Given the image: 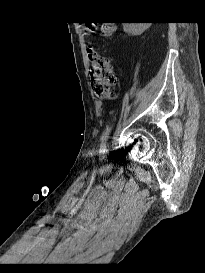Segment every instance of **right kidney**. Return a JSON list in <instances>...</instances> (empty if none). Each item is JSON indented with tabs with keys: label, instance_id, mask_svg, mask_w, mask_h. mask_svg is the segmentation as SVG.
Here are the masks:
<instances>
[{
	"label": "right kidney",
	"instance_id": "1",
	"mask_svg": "<svg viewBox=\"0 0 205 273\" xmlns=\"http://www.w3.org/2000/svg\"><path fill=\"white\" fill-rule=\"evenodd\" d=\"M150 26V23H123L124 31L131 34H141Z\"/></svg>",
	"mask_w": 205,
	"mask_h": 273
}]
</instances>
